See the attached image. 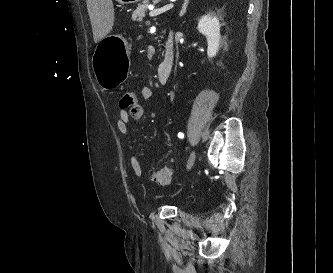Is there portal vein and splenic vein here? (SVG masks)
<instances>
[{"label":"portal vein and splenic vein","mask_w":333,"mask_h":273,"mask_svg":"<svg viewBox=\"0 0 333 273\" xmlns=\"http://www.w3.org/2000/svg\"><path fill=\"white\" fill-rule=\"evenodd\" d=\"M173 7L172 4L170 5H166V6H163L162 8H158V9H151V11L149 12V16L150 17H155L157 15H160L168 10H170L171 8Z\"/></svg>","instance_id":"portal-vein-and-splenic-vein-1"}]
</instances>
